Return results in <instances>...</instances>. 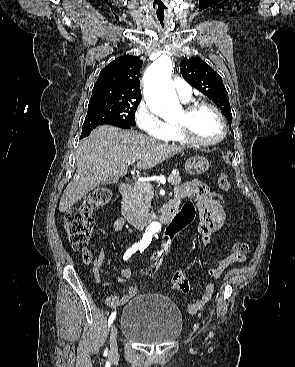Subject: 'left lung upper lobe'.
<instances>
[{
    "instance_id": "left-lung-upper-lobe-1",
    "label": "left lung upper lobe",
    "mask_w": 295,
    "mask_h": 367,
    "mask_svg": "<svg viewBox=\"0 0 295 367\" xmlns=\"http://www.w3.org/2000/svg\"><path fill=\"white\" fill-rule=\"evenodd\" d=\"M180 70L190 85L205 94L220 108L231 125L232 113L228 93L221 76L200 58H184Z\"/></svg>"
}]
</instances>
